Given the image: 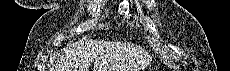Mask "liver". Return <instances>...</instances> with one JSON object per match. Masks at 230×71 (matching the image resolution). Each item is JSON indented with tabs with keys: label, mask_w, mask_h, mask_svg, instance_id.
Instances as JSON below:
<instances>
[{
	"label": "liver",
	"mask_w": 230,
	"mask_h": 71,
	"mask_svg": "<svg viewBox=\"0 0 230 71\" xmlns=\"http://www.w3.org/2000/svg\"><path fill=\"white\" fill-rule=\"evenodd\" d=\"M151 57L139 47L118 42L83 39L69 44L60 56L56 71H138Z\"/></svg>",
	"instance_id": "6515ba94"
}]
</instances>
